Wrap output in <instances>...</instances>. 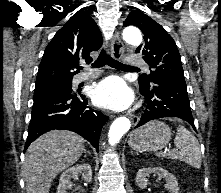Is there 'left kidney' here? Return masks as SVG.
I'll list each match as a JSON object with an SVG mask.
<instances>
[{
    "mask_svg": "<svg viewBox=\"0 0 221 193\" xmlns=\"http://www.w3.org/2000/svg\"><path fill=\"white\" fill-rule=\"evenodd\" d=\"M152 173L157 174L159 177L166 180L165 188H167L170 193H179L178 182L175 176L161 167H148L140 169L136 175L137 186L141 189H145L147 187V177H149V175Z\"/></svg>",
    "mask_w": 221,
    "mask_h": 193,
    "instance_id": "5707ae66",
    "label": "left kidney"
}]
</instances>
